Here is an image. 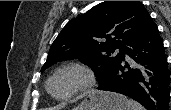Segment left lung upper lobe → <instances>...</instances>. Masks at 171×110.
Here are the masks:
<instances>
[{
    "label": "left lung upper lobe",
    "instance_id": "left-lung-upper-lobe-1",
    "mask_svg": "<svg viewBox=\"0 0 171 110\" xmlns=\"http://www.w3.org/2000/svg\"><path fill=\"white\" fill-rule=\"evenodd\" d=\"M148 11L139 1H104L69 21L50 47L41 71L80 58L103 83L119 65L126 45L142 31ZM116 49H120L114 55Z\"/></svg>",
    "mask_w": 171,
    "mask_h": 110
}]
</instances>
